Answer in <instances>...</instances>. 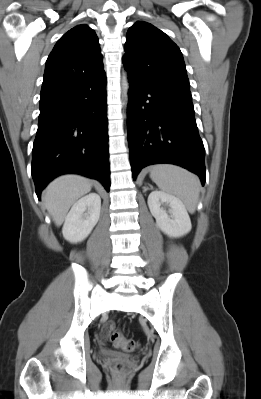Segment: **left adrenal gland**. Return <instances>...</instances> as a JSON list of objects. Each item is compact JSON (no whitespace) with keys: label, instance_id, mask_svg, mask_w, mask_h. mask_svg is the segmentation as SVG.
Returning a JSON list of instances; mask_svg holds the SVG:
<instances>
[{"label":"left adrenal gland","instance_id":"left-adrenal-gland-1","mask_svg":"<svg viewBox=\"0 0 261 399\" xmlns=\"http://www.w3.org/2000/svg\"><path fill=\"white\" fill-rule=\"evenodd\" d=\"M143 189H144V191H146L148 188H146V187H143Z\"/></svg>","mask_w":261,"mask_h":399}]
</instances>
